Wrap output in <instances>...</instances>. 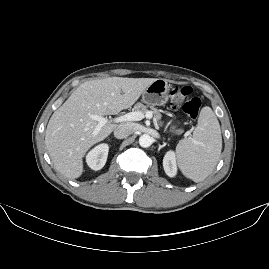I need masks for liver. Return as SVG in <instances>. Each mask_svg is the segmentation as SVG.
<instances>
[{
    "mask_svg": "<svg viewBox=\"0 0 269 269\" xmlns=\"http://www.w3.org/2000/svg\"><path fill=\"white\" fill-rule=\"evenodd\" d=\"M156 80L108 77L80 84L47 124L45 145L56 169L68 178H79L84 172L83 159L87 152L118 127L105 124L92 137L98 122L89 119L88 114L105 116L129 109Z\"/></svg>",
    "mask_w": 269,
    "mask_h": 269,
    "instance_id": "liver-1",
    "label": "liver"
}]
</instances>
